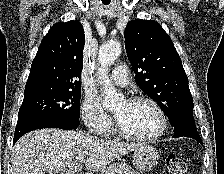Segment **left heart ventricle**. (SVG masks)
<instances>
[{
    "instance_id": "obj_1",
    "label": "left heart ventricle",
    "mask_w": 224,
    "mask_h": 174,
    "mask_svg": "<svg viewBox=\"0 0 224 174\" xmlns=\"http://www.w3.org/2000/svg\"><path fill=\"white\" fill-rule=\"evenodd\" d=\"M122 128L134 135L148 136L160 127V118L155 109L146 103H121L114 111Z\"/></svg>"
}]
</instances>
